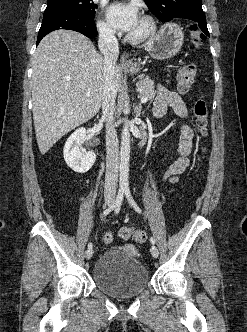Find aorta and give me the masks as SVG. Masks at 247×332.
Masks as SVG:
<instances>
[{
    "label": "aorta",
    "mask_w": 247,
    "mask_h": 332,
    "mask_svg": "<svg viewBox=\"0 0 247 332\" xmlns=\"http://www.w3.org/2000/svg\"><path fill=\"white\" fill-rule=\"evenodd\" d=\"M129 158H130V131L127 124L124 125L121 134L120 151V189L129 188Z\"/></svg>",
    "instance_id": "1"
}]
</instances>
